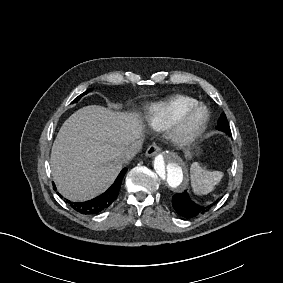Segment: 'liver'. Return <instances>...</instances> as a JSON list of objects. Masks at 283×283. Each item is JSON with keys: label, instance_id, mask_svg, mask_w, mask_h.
<instances>
[{"label": "liver", "instance_id": "6515ba94", "mask_svg": "<svg viewBox=\"0 0 283 283\" xmlns=\"http://www.w3.org/2000/svg\"><path fill=\"white\" fill-rule=\"evenodd\" d=\"M141 132L139 118L99 106L71 115L51 152L52 176L59 191L73 201H85L105 191L122 168L119 156Z\"/></svg>", "mask_w": 283, "mask_h": 283}]
</instances>
